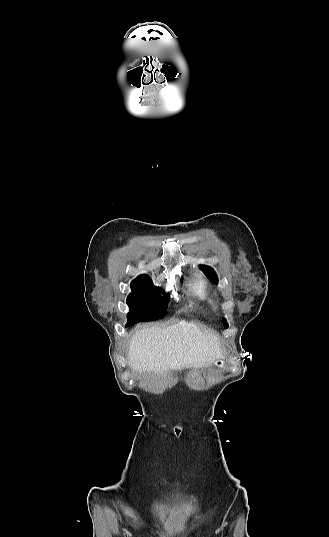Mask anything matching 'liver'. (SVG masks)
<instances>
[{"mask_svg":"<svg viewBox=\"0 0 329 537\" xmlns=\"http://www.w3.org/2000/svg\"><path fill=\"white\" fill-rule=\"evenodd\" d=\"M223 357L220 337L193 321L168 327L143 325L129 342L128 364L138 372L163 374L168 369L203 368Z\"/></svg>","mask_w":329,"mask_h":537,"instance_id":"6515ba94","label":"liver"}]
</instances>
